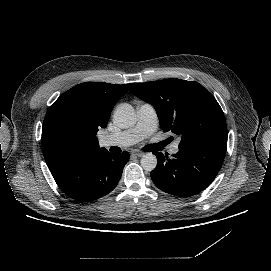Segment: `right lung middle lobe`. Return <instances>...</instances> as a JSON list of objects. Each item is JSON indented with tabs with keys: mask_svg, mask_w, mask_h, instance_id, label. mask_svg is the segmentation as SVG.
I'll return each mask as SVG.
<instances>
[{
	"mask_svg": "<svg viewBox=\"0 0 271 271\" xmlns=\"http://www.w3.org/2000/svg\"><path fill=\"white\" fill-rule=\"evenodd\" d=\"M80 135V129L68 117H62L52 127V138L60 146L73 145Z\"/></svg>",
	"mask_w": 271,
	"mask_h": 271,
	"instance_id": "1",
	"label": "right lung middle lobe"
}]
</instances>
